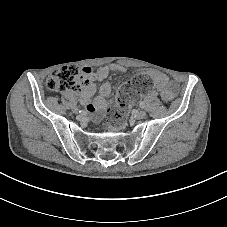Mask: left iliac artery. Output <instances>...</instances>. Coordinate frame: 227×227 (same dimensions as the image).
I'll use <instances>...</instances> for the list:
<instances>
[{"instance_id": "left-iliac-artery-1", "label": "left iliac artery", "mask_w": 227, "mask_h": 227, "mask_svg": "<svg viewBox=\"0 0 227 227\" xmlns=\"http://www.w3.org/2000/svg\"><path fill=\"white\" fill-rule=\"evenodd\" d=\"M139 105H140L141 108L145 107V103L143 101H140Z\"/></svg>"}]
</instances>
